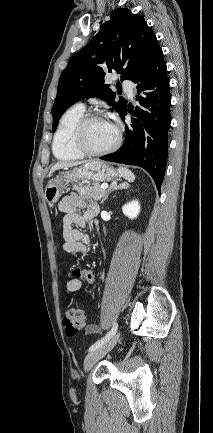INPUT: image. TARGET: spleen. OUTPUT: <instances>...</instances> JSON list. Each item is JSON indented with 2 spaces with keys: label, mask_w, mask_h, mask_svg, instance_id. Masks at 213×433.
<instances>
[{
  "label": "spleen",
  "mask_w": 213,
  "mask_h": 433,
  "mask_svg": "<svg viewBox=\"0 0 213 433\" xmlns=\"http://www.w3.org/2000/svg\"><path fill=\"white\" fill-rule=\"evenodd\" d=\"M118 173L121 177L128 180L129 182H133L135 180V175L127 168L120 167L118 168Z\"/></svg>",
  "instance_id": "obj_1"
}]
</instances>
